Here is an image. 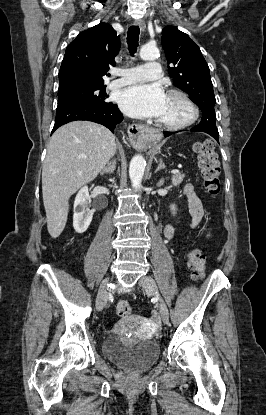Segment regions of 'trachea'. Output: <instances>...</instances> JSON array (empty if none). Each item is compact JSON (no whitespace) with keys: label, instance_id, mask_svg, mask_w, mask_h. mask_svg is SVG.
Wrapping results in <instances>:
<instances>
[{"label":"trachea","instance_id":"3493384b","mask_svg":"<svg viewBox=\"0 0 266 415\" xmlns=\"http://www.w3.org/2000/svg\"><path fill=\"white\" fill-rule=\"evenodd\" d=\"M140 29L138 26H131L127 33L128 50L131 55L137 50Z\"/></svg>","mask_w":266,"mask_h":415}]
</instances>
